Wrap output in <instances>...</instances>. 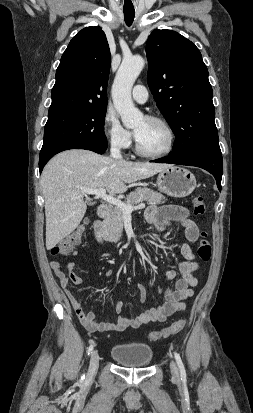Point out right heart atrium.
<instances>
[{"instance_id": "1", "label": "right heart atrium", "mask_w": 253, "mask_h": 413, "mask_svg": "<svg viewBox=\"0 0 253 413\" xmlns=\"http://www.w3.org/2000/svg\"><path fill=\"white\" fill-rule=\"evenodd\" d=\"M102 128L109 144L117 149H127L131 145V133L118 121L117 117L107 111L103 117Z\"/></svg>"}]
</instances>
